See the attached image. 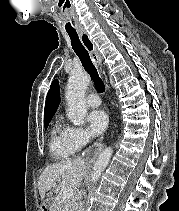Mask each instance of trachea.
Masks as SVG:
<instances>
[{
    "mask_svg": "<svg viewBox=\"0 0 179 211\" xmlns=\"http://www.w3.org/2000/svg\"><path fill=\"white\" fill-rule=\"evenodd\" d=\"M74 52L79 57L84 69L90 74L92 80L94 81L95 87L99 93L104 92L105 86L102 79L99 77L97 69L93 65L88 51L81 43L76 31H67Z\"/></svg>",
    "mask_w": 179,
    "mask_h": 211,
    "instance_id": "trachea-1",
    "label": "trachea"
}]
</instances>
